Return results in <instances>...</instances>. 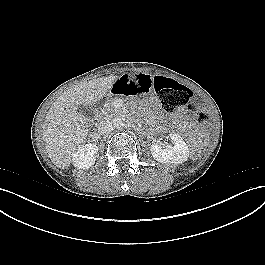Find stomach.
Here are the masks:
<instances>
[{"label":"stomach","instance_id":"1","mask_svg":"<svg viewBox=\"0 0 265 265\" xmlns=\"http://www.w3.org/2000/svg\"><path fill=\"white\" fill-rule=\"evenodd\" d=\"M148 76L143 74H131L129 76H121L114 83V90L120 96H129L131 98H138L148 92L150 84L146 85L145 80Z\"/></svg>","mask_w":265,"mask_h":265}]
</instances>
